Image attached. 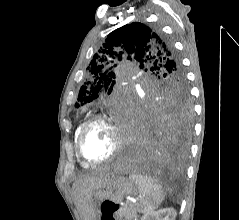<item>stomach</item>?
<instances>
[{"label": "stomach", "instance_id": "stomach-1", "mask_svg": "<svg viewBox=\"0 0 239 220\" xmlns=\"http://www.w3.org/2000/svg\"><path fill=\"white\" fill-rule=\"evenodd\" d=\"M138 193L137 185L127 179L113 176L103 187L93 192L94 202L98 203L96 213L98 220H122L121 205H117L126 196H135Z\"/></svg>", "mask_w": 239, "mask_h": 220}]
</instances>
